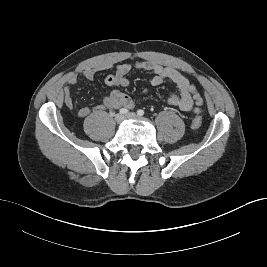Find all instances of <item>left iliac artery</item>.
Listing matches in <instances>:
<instances>
[{"label":"left iliac artery","instance_id":"left-iliac-artery-1","mask_svg":"<svg viewBox=\"0 0 267 267\" xmlns=\"http://www.w3.org/2000/svg\"><path fill=\"white\" fill-rule=\"evenodd\" d=\"M137 114H138L139 116H143V115H144V111L141 110V109H139V110L137 111Z\"/></svg>","mask_w":267,"mask_h":267}]
</instances>
